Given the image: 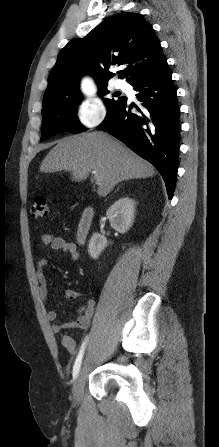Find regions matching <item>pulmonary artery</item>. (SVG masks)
<instances>
[{
  "mask_svg": "<svg viewBox=\"0 0 219 447\" xmlns=\"http://www.w3.org/2000/svg\"><path fill=\"white\" fill-rule=\"evenodd\" d=\"M126 82H124L123 80L118 79L116 81V87L119 89H125L126 88Z\"/></svg>",
  "mask_w": 219,
  "mask_h": 447,
  "instance_id": "obj_1",
  "label": "pulmonary artery"
}]
</instances>
